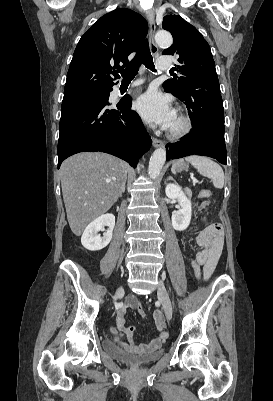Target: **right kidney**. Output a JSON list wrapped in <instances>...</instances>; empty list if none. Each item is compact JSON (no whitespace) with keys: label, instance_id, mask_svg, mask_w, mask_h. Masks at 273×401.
<instances>
[{"label":"right kidney","instance_id":"1","mask_svg":"<svg viewBox=\"0 0 273 401\" xmlns=\"http://www.w3.org/2000/svg\"><path fill=\"white\" fill-rule=\"evenodd\" d=\"M104 227H109L108 231L104 233L103 237L98 235L99 231H103ZM115 227L114 215H101L95 221H92L88 227H86L82 237L81 243L88 251H100L109 245L112 239L113 229Z\"/></svg>","mask_w":273,"mask_h":401}]
</instances>
